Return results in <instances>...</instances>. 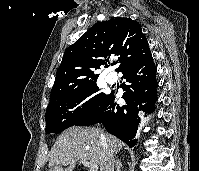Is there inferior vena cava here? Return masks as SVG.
<instances>
[{
	"instance_id": "obj_1",
	"label": "inferior vena cava",
	"mask_w": 199,
	"mask_h": 171,
	"mask_svg": "<svg viewBox=\"0 0 199 171\" xmlns=\"http://www.w3.org/2000/svg\"><path fill=\"white\" fill-rule=\"evenodd\" d=\"M114 164H115L114 154L111 153L109 154L108 159L106 160L105 171H114Z\"/></svg>"
}]
</instances>
